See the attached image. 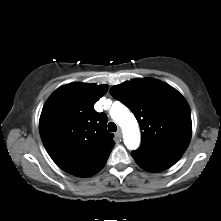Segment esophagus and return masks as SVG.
<instances>
[{"mask_svg": "<svg viewBox=\"0 0 221 221\" xmlns=\"http://www.w3.org/2000/svg\"><path fill=\"white\" fill-rule=\"evenodd\" d=\"M116 137L119 138V139L122 137L121 129H118V130H117V132H116Z\"/></svg>", "mask_w": 221, "mask_h": 221, "instance_id": "34e87169", "label": "esophagus"}]
</instances>
